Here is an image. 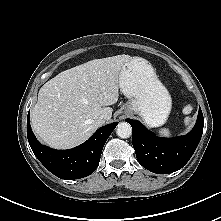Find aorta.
I'll use <instances>...</instances> for the list:
<instances>
[{"mask_svg": "<svg viewBox=\"0 0 221 221\" xmlns=\"http://www.w3.org/2000/svg\"><path fill=\"white\" fill-rule=\"evenodd\" d=\"M116 133L120 138H129L132 135V127L127 122H120L116 127Z\"/></svg>", "mask_w": 221, "mask_h": 221, "instance_id": "obj_1", "label": "aorta"}]
</instances>
